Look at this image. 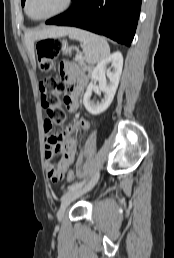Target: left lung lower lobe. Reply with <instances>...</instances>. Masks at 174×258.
Masks as SVG:
<instances>
[{
	"label": "left lung lower lobe",
	"mask_w": 174,
	"mask_h": 258,
	"mask_svg": "<svg viewBox=\"0 0 174 258\" xmlns=\"http://www.w3.org/2000/svg\"><path fill=\"white\" fill-rule=\"evenodd\" d=\"M142 0H73L66 12L49 25L74 26L130 46L135 35Z\"/></svg>",
	"instance_id": "left-lung-lower-lobe-1"
}]
</instances>
